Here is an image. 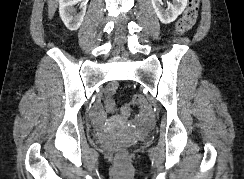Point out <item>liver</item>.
Here are the masks:
<instances>
[{
  "instance_id": "liver-1",
  "label": "liver",
  "mask_w": 244,
  "mask_h": 179,
  "mask_svg": "<svg viewBox=\"0 0 244 179\" xmlns=\"http://www.w3.org/2000/svg\"><path fill=\"white\" fill-rule=\"evenodd\" d=\"M49 20H52L58 6V0H47Z\"/></svg>"
}]
</instances>
